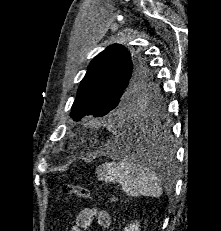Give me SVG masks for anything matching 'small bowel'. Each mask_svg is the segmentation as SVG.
I'll return each instance as SVG.
<instances>
[{
	"instance_id": "1",
	"label": "small bowel",
	"mask_w": 221,
	"mask_h": 231,
	"mask_svg": "<svg viewBox=\"0 0 221 231\" xmlns=\"http://www.w3.org/2000/svg\"><path fill=\"white\" fill-rule=\"evenodd\" d=\"M93 222L101 229H107L111 225V217L107 211L97 208H83L76 216L75 223L70 231H84L89 228Z\"/></svg>"
}]
</instances>
